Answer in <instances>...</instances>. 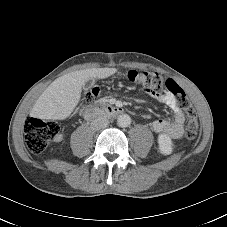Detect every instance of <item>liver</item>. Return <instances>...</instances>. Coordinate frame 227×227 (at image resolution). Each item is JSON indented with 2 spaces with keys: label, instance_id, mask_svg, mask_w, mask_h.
<instances>
[{
  "label": "liver",
  "instance_id": "6515ba94",
  "mask_svg": "<svg viewBox=\"0 0 227 227\" xmlns=\"http://www.w3.org/2000/svg\"><path fill=\"white\" fill-rule=\"evenodd\" d=\"M115 68H92L63 75L54 80L39 96L30 113L40 119L64 120L79 103L82 87L89 79H105Z\"/></svg>",
  "mask_w": 227,
  "mask_h": 227
}]
</instances>
